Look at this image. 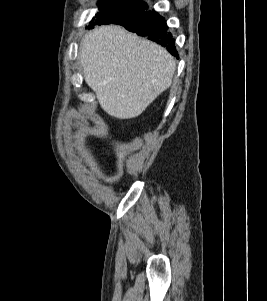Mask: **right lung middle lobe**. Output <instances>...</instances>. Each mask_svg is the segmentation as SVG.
Here are the masks:
<instances>
[{"label":"right lung middle lobe","instance_id":"dd1d6c3e","mask_svg":"<svg viewBox=\"0 0 267 301\" xmlns=\"http://www.w3.org/2000/svg\"><path fill=\"white\" fill-rule=\"evenodd\" d=\"M98 5L100 12L90 22L91 28L94 25L115 23L125 16L148 9L146 3L140 0H99Z\"/></svg>","mask_w":267,"mask_h":301}]
</instances>
